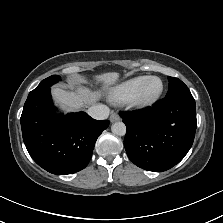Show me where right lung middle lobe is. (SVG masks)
<instances>
[{"mask_svg":"<svg viewBox=\"0 0 223 223\" xmlns=\"http://www.w3.org/2000/svg\"><path fill=\"white\" fill-rule=\"evenodd\" d=\"M61 77L58 75H52L44 80H42L40 82V84L34 89L32 90L30 94H34L40 91H43L44 89L51 87L53 84H55L56 82L60 81Z\"/></svg>","mask_w":223,"mask_h":223,"instance_id":"obj_1","label":"right lung middle lobe"}]
</instances>
